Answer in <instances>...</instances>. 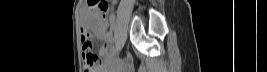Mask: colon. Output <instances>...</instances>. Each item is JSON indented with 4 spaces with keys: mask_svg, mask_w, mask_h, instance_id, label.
<instances>
[{
    "mask_svg": "<svg viewBox=\"0 0 267 72\" xmlns=\"http://www.w3.org/2000/svg\"><path fill=\"white\" fill-rule=\"evenodd\" d=\"M87 6L91 12L98 13L104 18L108 17L109 14V0H87ZM91 42L84 40L82 45V57L84 63L85 72H94L98 63V56L90 51Z\"/></svg>",
    "mask_w": 267,
    "mask_h": 72,
    "instance_id": "5ec220e1",
    "label": "colon"
}]
</instances>
